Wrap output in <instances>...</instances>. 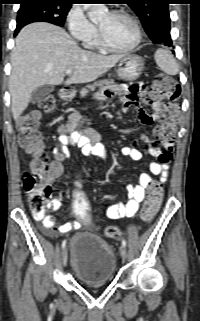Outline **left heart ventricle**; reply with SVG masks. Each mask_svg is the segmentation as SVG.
<instances>
[{"instance_id":"1","label":"left heart ventricle","mask_w":200,"mask_h":321,"mask_svg":"<svg viewBox=\"0 0 200 321\" xmlns=\"http://www.w3.org/2000/svg\"><path fill=\"white\" fill-rule=\"evenodd\" d=\"M98 27L107 41L117 48L130 46L136 38L134 24L126 17H114L106 14L98 23Z\"/></svg>"}]
</instances>
